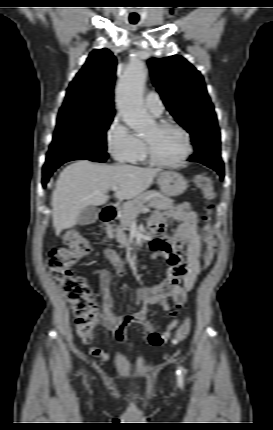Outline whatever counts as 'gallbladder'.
Instances as JSON below:
<instances>
[{"label": "gallbladder", "instance_id": "1", "mask_svg": "<svg viewBox=\"0 0 273 430\" xmlns=\"http://www.w3.org/2000/svg\"><path fill=\"white\" fill-rule=\"evenodd\" d=\"M99 218V210L95 206H87L84 208L78 218L80 225H88L96 222Z\"/></svg>", "mask_w": 273, "mask_h": 430}]
</instances>
